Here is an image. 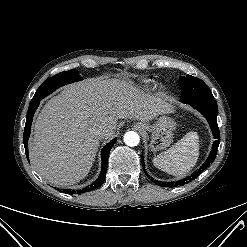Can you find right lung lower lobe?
<instances>
[{
  "label": "right lung lower lobe",
  "instance_id": "98d812e1",
  "mask_svg": "<svg viewBox=\"0 0 247 247\" xmlns=\"http://www.w3.org/2000/svg\"><path fill=\"white\" fill-rule=\"evenodd\" d=\"M39 103H40V101L30 102L28 112H27L26 124H25V129H24V137H23L27 158H28V138L30 135L31 123H32L33 115H34L35 110L37 109ZM115 142H116V138H114L111 142H109L107 145H105L101 151L102 169H101V173H100L99 177L90 186L83 188L81 190H78L77 193H84V192L94 190V189L98 188L104 182L105 175L107 172V163H108L109 152H110V150L113 147ZM64 191L67 193H71V194L76 193V191L69 190V189H64Z\"/></svg>",
  "mask_w": 247,
  "mask_h": 247
}]
</instances>
